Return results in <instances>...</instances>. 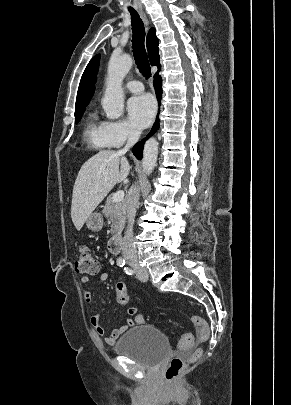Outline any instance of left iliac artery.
<instances>
[{
    "instance_id": "44dca946",
    "label": "left iliac artery",
    "mask_w": 291,
    "mask_h": 405,
    "mask_svg": "<svg viewBox=\"0 0 291 405\" xmlns=\"http://www.w3.org/2000/svg\"><path fill=\"white\" fill-rule=\"evenodd\" d=\"M124 271H125V273L128 274V275H132V274H133V270L129 269L128 267H125V268H124Z\"/></svg>"
}]
</instances>
